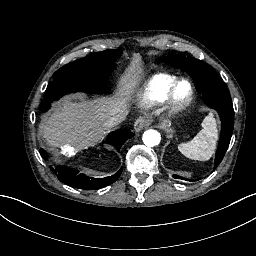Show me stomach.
I'll return each instance as SVG.
<instances>
[{"label":"stomach","mask_w":256,"mask_h":256,"mask_svg":"<svg viewBox=\"0 0 256 256\" xmlns=\"http://www.w3.org/2000/svg\"><path fill=\"white\" fill-rule=\"evenodd\" d=\"M170 122H171V121H170L169 119H166V120H163L161 124H162L163 126H166V127H167V126H169Z\"/></svg>","instance_id":"obj_1"}]
</instances>
